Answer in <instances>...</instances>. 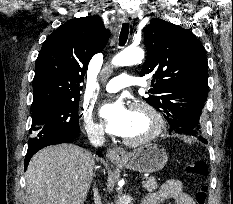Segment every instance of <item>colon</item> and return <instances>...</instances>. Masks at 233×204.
<instances>
[{
    "label": "colon",
    "instance_id": "1",
    "mask_svg": "<svg viewBox=\"0 0 233 204\" xmlns=\"http://www.w3.org/2000/svg\"><path fill=\"white\" fill-rule=\"evenodd\" d=\"M208 165L203 159H198L186 167V173L190 176H207ZM208 195V187L206 185L201 186L195 193V204H205Z\"/></svg>",
    "mask_w": 233,
    "mask_h": 204
}]
</instances>
